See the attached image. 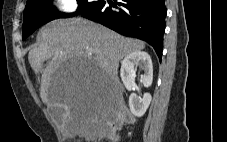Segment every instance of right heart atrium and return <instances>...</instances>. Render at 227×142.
Listing matches in <instances>:
<instances>
[{
  "label": "right heart atrium",
  "instance_id": "right-heart-atrium-1",
  "mask_svg": "<svg viewBox=\"0 0 227 142\" xmlns=\"http://www.w3.org/2000/svg\"><path fill=\"white\" fill-rule=\"evenodd\" d=\"M77 0H55V11L59 15H70L77 11Z\"/></svg>",
  "mask_w": 227,
  "mask_h": 142
}]
</instances>
